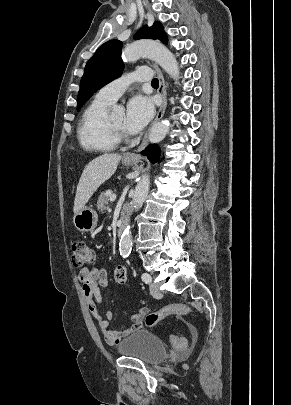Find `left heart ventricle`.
<instances>
[{"label": "left heart ventricle", "mask_w": 291, "mask_h": 405, "mask_svg": "<svg viewBox=\"0 0 291 405\" xmlns=\"http://www.w3.org/2000/svg\"><path fill=\"white\" fill-rule=\"evenodd\" d=\"M111 123L122 130H126L125 128V114L120 113L110 119Z\"/></svg>", "instance_id": "obj_1"}]
</instances>
